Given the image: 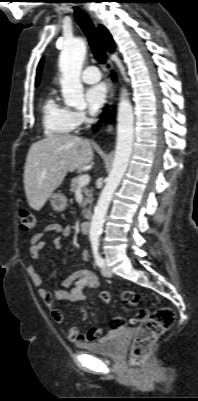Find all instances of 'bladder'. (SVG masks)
Listing matches in <instances>:
<instances>
[{"mask_svg": "<svg viewBox=\"0 0 198 401\" xmlns=\"http://www.w3.org/2000/svg\"><path fill=\"white\" fill-rule=\"evenodd\" d=\"M120 333L121 331L111 330L96 342L84 345V349L92 354L118 357L121 353V346L117 341V336Z\"/></svg>", "mask_w": 198, "mask_h": 401, "instance_id": "31cf9c89", "label": "bladder"}]
</instances>
